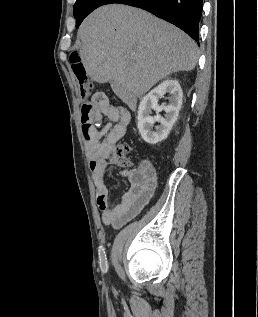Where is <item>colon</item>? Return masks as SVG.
Instances as JSON below:
<instances>
[{
    "mask_svg": "<svg viewBox=\"0 0 258 317\" xmlns=\"http://www.w3.org/2000/svg\"><path fill=\"white\" fill-rule=\"evenodd\" d=\"M70 64L79 84L80 96L82 99L88 100L91 94L92 84L87 76L85 66L78 52H73L70 55ZM84 104L88 105L89 102L86 101ZM81 123L85 141L88 143L94 142L99 136V132L95 126L97 120L87 113ZM130 151L131 146L128 143H118L114 148L112 161L120 166L130 165L128 156Z\"/></svg>",
    "mask_w": 258,
    "mask_h": 317,
    "instance_id": "colon-1",
    "label": "colon"
}]
</instances>
